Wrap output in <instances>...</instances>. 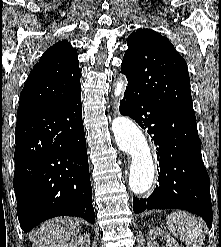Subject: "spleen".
<instances>
[{
  "instance_id": "spleen-1",
  "label": "spleen",
  "mask_w": 221,
  "mask_h": 247,
  "mask_svg": "<svg viewBox=\"0 0 221 247\" xmlns=\"http://www.w3.org/2000/svg\"><path fill=\"white\" fill-rule=\"evenodd\" d=\"M167 224L170 233L179 237L186 247H203V226L195 216L184 211H175L168 215Z\"/></svg>"
}]
</instances>
